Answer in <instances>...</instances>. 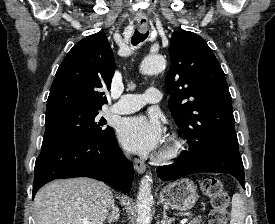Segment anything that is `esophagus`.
<instances>
[{
  "mask_svg": "<svg viewBox=\"0 0 275 224\" xmlns=\"http://www.w3.org/2000/svg\"><path fill=\"white\" fill-rule=\"evenodd\" d=\"M148 27L147 21H140L139 22V29L142 33L146 32ZM134 168L138 173H143L146 170L145 162L141 159L135 158L134 161Z\"/></svg>",
  "mask_w": 275,
  "mask_h": 224,
  "instance_id": "obj_1",
  "label": "esophagus"
}]
</instances>
